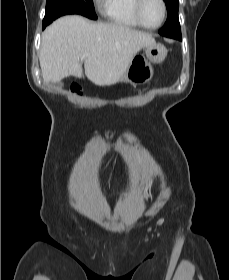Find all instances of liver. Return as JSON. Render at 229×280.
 <instances>
[{"label":"liver","mask_w":229,"mask_h":280,"mask_svg":"<svg viewBox=\"0 0 229 280\" xmlns=\"http://www.w3.org/2000/svg\"><path fill=\"white\" fill-rule=\"evenodd\" d=\"M148 33L119 24L90 22L79 15L61 17L43 33L39 55L45 83H57L72 75L95 85L120 81L133 57L154 44Z\"/></svg>","instance_id":"obj_1"}]
</instances>
